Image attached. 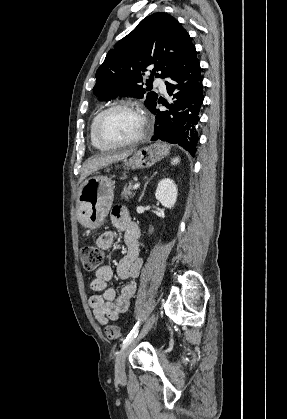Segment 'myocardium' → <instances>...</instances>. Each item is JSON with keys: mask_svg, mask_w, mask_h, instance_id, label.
<instances>
[{"mask_svg": "<svg viewBox=\"0 0 287 419\" xmlns=\"http://www.w3.org/2000/svg\"><path fill=\"white\" fill-rule=\"evenodd\" d=\"M116 109H130L133 110L135 112H137L141 118V128L138 132V134L136 136H134L131 139L125 140V141H110L107 140L101 133V125L102 122L104 120V118L112 111L116 110ZM147 128H148V120L147 117L145 116V114L142 112L141 109H139L136 105H134L133 103L129 102V101H119L116 102L110 106H108L107 108H105L104 110H102L95 122V126H94V133L96 136V139L104 146L109 147V148H117V147H124V146H129V145H133L136 144L138 142H140L146 135L147 133Z\"/></svg>", "mask_w": 287, "mask_h": 419, "instance_id": "1", "label": "myocardium"}]
</instances>
